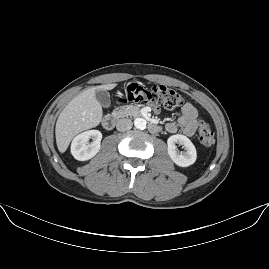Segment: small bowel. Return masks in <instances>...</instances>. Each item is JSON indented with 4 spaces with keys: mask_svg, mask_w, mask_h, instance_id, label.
I'll use <instances>...</instances> for the list:
<instances>
[{
    "mask_svg": "<svg viewBox=\"0 0 269 269\" xmlns=\"http://www.w3.org/2000/svg\"><path fill=\"white\" fill-rule=\"evenodd\" d=\"M197 127V110L189 102L182 106L178 120L166 125V129L169 133H175L180 128L186 136L194 135Z\"/></svg>",
    "mask_w": 269,
    "mask_h": 269,
    "instance_id": "obj_1",
    "label": "small bowel"
}]
</instances>
